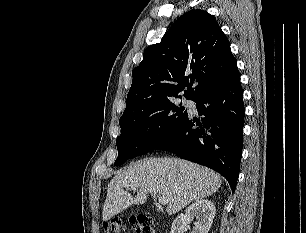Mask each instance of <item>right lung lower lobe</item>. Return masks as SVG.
Listing matches in <instances>:
<instances>
[{"label":"right lung lower lobe","mask_w":306,"mask_h":233,"mask_svg":"<svg viewBox=\"0 0 306 233\" xmlns=\"http://www.w3.org/2000/svg\"><path fill=\"white\" fill-rule=\"evenodd\" d=\"M196 102L198 113L204 116L201 122L188 116L178 130L155 149L170 151L219 172L234 192L240 170L244 126L239 72L207 91Z\"/></svg>","instance_id":"right-lung-lower-lobe-1"}]
</instances>
